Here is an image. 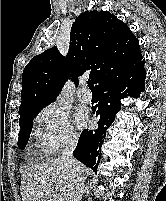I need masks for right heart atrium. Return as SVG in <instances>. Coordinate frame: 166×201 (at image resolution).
Listing matches in <instances>:
<instances>
[{
	"mask_svg": "<svg viewBox=\"0 0 166 201\" xmlns=\"http://www.w3.org/2000/svg\"><path fill=\"white\" fill-rule=\"evenodd\" d=\"M36 124L39 147L47 154H55L77 141L69 112L60 104L44 107L36 117Z\"/></svg>",
	"mask_w": 166,
	"mask_h": 201,
	"instance_id": "d8ad5b80",
	"label": "right heart atrium"
}]
</instances>
